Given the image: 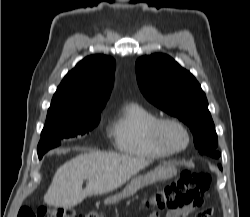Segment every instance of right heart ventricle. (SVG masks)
I'll list each match as a JSON object with an SVG mask.
<instances>
[{"label": "right heart ventricle", "instance_id": "e07e8e85", "mask_svg": "<svg viewBox=\"0 0 250 217\" xmlns=\"http://www.w3.org/2000/svg\"><path fill=\"white\" fill-rule=\"evenodd\" d=\"M157 115L142 104H124L111 121L109 132L115 149L121 153L146 158L160 159L171 155L158 146L151 135V126Z\"/></svg>", "mask_w": 250, "mask_h": 217}]
</instances>
